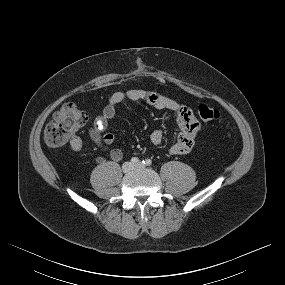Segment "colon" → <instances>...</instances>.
Instances as JSON below:
<instances>
[{"mask_svg":"<svg viewBox=\"0 0 285 285\" xmlns=\"http://www.w3.org/2000/svg\"><path fill=\"white\" fill-rule=\"evenodd\" d=\"M197 113L204 122L218 120L222 117L218 109L206 104H201ZM86 120L85 112L76 104L65 103L54 114L52 121L45 127V143L51 147L64 145L73 135L77 134V131L85 124Z\"/></svg>","mask_w":285,"mask_h":285,"instance_id":"1","label":"colon"}]
</instances>
